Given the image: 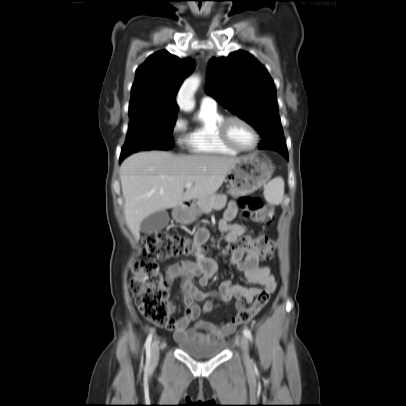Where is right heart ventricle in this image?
<instances>
[{
    "label": "right heart ventricle",
    "mask_w": 406,
    "mask_h": 406,
    "mask_svg": "<svg viewBox=\"0 0 406 406\" xmlns=\"http://www.w3.org/2000/svg\"><path fill=\"white\" fill-rule=\"evenodd\" d=\"M224 115L217 107H200L197 124L185 137V144L192 153L235 156L238 151L226 146L219 138L218 126Z\"/></svg>",
    "instance_id": "e07e8e85"
}]
</instances>
